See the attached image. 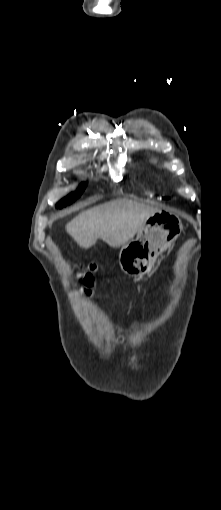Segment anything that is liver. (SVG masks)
<instances>
[{
	"instance_id": "obj_1",
	"label": "liver",
	"mask_w": 221,
	"mask_h": 510,
	"mask_svg": "<svg viewBox=\"0 0 221 510\" xmlns=\"http://www.w3.org/2000/svg\"><path fill=\"white\" fill-rule=\"evenodd\" d=\"M159 211L128 199L113 200L79 213L67 223L66 231L84 249L98 239L118 248L131 241L145 221Z\"/></svg>"
}]
</instances>
